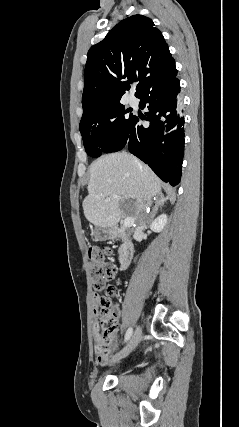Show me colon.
Returning <instances> with one entry per match:
<instances>
[{
  "label": "colon",
  "mask_w": 239,
  "mask_h": 427,
  "mask_svg": "<svg viewBox=\"0 0 239 427\" xmlns=\"http://www.w3.org/2000/svg\"><path fill=\"white\" fill-rule=\"evenodd\" d=\"M108 250L92 247L88 252L89 272L92 286L97 291H104L106 296L100 298L98 316L101 329L98 348L102 351L109 349L113 341V333L116 328V316L111 306V299L116 295L115 288L109 285L115 277L114 266L105 261Z\"/></svg>",
  "instance_id": "5ec220e1"
}]
</instances>
